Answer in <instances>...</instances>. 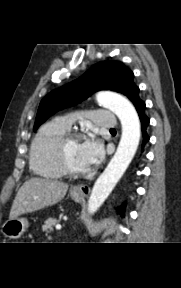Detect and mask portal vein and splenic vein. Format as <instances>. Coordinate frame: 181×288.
I'll return each mask as SVG.
<instances>
[{
	"label": "portal vein and splenic vein",
	"instance_id": "obj_1",
	"mask_svg": "<svg viewBox=\"0 0 181 288\" xmlns=\"http://www.w3.org/2000/svg\"><path fill=\"white\" fill-rule=\"evenodd\" d=\"M57 230H61V225H56Z\"/></svg>",
	"mask_w": 181,
	"mask_h": 288
}]
</instances>
